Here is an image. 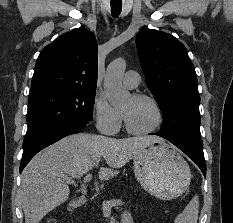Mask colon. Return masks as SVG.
Segmentation results:
<instances>
[{"mask_svg": "<svg viewBox=\"0 0 233 223\" xmlns=\"http://www.w3.org/2000/svg\"><path fill=\"white\" fill-rule=\"evenodd\" d=\"M47 223H54L53 221H47Z\"/></svg>", "mask_w": 233, "mask_h": 223, "instance_id": "obj_1", "label": "colon"}]
</instances>
